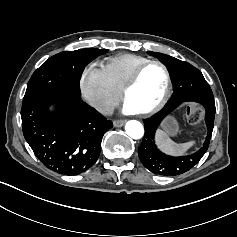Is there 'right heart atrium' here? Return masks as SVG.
I'll list each match as a JSON object with an SVG mask.
<instances>
[{
  "label": "right heart atrium",
  "instance_id": "right-heart-atrium-1",
  "mask_svg": "<svg viewBox=\"0 0 237 237\" xmlns=\"http://www.w3.org/2000/svg\"><path fill=\"white\" fill-rule=\"evenodd\" d=\"M79 87L87 103L101 114L110 112L119 102L120 93L110 82L104 68L88 64L81 72Z\"/></svg>",
  "mask_w": 237,
  "mask_h": 237
}]
</instances>
